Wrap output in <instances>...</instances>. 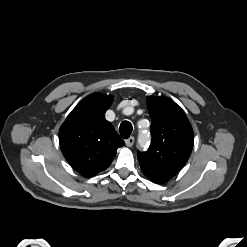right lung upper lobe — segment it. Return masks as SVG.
I'll return each instance as SVG.
<instances>
[{
    "label": "right lung upper lobe",
    "instance_id": "obj_1",
    "mask_svg": "<svg viewBox=\"0 0 247 247\" xmlns=\"http://www.w3.org/2000/svg\"><path fill=\"white\" fill-rule=\"evenodd\" d=\"M111 95L95 93L85 97L68 115L59 130V143L68 163L77 172L92 177L105 170L125 143L105 112Z\"/></svg>",
    "mask_w": 247,
    "mask_h": 247
}]
</instances>
